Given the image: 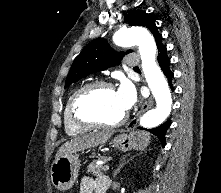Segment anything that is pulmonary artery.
<instances>
[{
    "label": "pulmonary artery",
    "mask_w": 221,
    "mask_h": 193,
    "mask_svg": "<svg viewBox=\"0 0 221 193\" xmlns=\"http://www.w3.org/2000/svg\"><path fill=\"white\" fill-rule=\"evenodd\" d=\"M140 63V58L138 55L134 54V55H131L129 57V59L127 60L126 64L130 67L132 66H136L137 64Z\"/></svg>",
    "instance_id": "pulmonary-artery-1"
}]
</instances>
